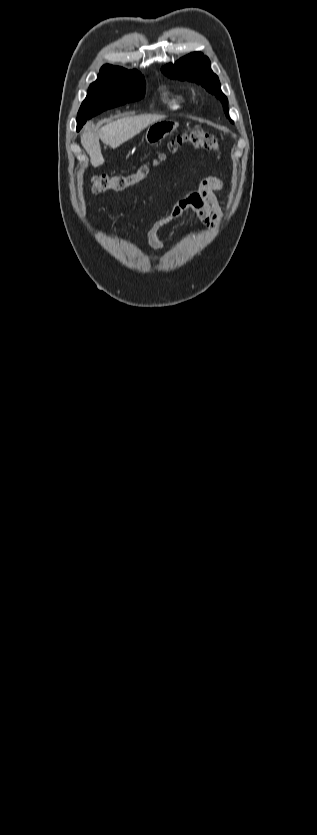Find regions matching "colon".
Listing matches in <instances>:
<instances>
[{
	"label": "colon",
	"instance_id": "colon-1",
	"mask_svg": "<svg viewBox=\"0 0 317 835\" xmlns=\"http://www.w3.org/2000/svg\"><path fill=\"white\" fill-rule=\"evenodd\" d=\"M183 144L191 145L196 149L214 152H218L219 150L217 139L210 133L200 128L193 129L190 132L177 136L175 140L170 142L169 150L171 152H175ZM157 162L158 161H154L153 165L144 164L130 174L96 175L92 178V192L100 194L108 191H121L126 187L145 179L151 173L153 166L157 164Z\"/></svg>",
	"mask_w": 317,
	"mask_h": 835
}]
</instances>
